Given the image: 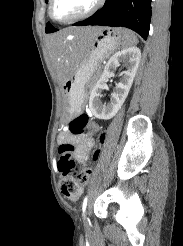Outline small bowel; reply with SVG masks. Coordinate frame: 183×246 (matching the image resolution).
I'll list each match as a JSON object with an SVG mask.
<instances>
[{"mask_svg": "<svg viewBox=\"0 0 183 246\" xmlns=\"http://www.w3.org/2000/svg\"><path fill=\"white\" fill-rule=\"evenodd\" d=\"M58 142L60 144H70L73 147L71 152L82 162L88 159L89 152L94 145V140L89 134L75 135L70 130L63 131L58 137ZM114 186L118 187L119 183L115 182Z\"/></svg>", "mask_w": 183, "mask_h": 246, "instance_id": "1", "label": "small bowel"}]
</instances>
